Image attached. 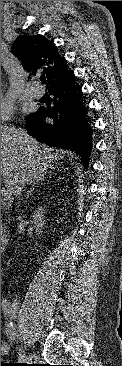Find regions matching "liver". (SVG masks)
I'll list each match as a JSON object with an SVG mask.
<instances>
[{
  "label": "liver",
  "mask_w": 122,
  "mask_h": 366,
  "mask_svg": "<svg viewBox=\"0 0 122 366\" xmlns=\"http://www.w3.org/2000/svg\"><path fill=\"white\" fill-rule=\"evenodd\" d=\"M65 153L39 143L22 129L1 126V182L17 196L18 187L43 177Z\"/></svg>",
  "instance_id": "1"
}]
</instances>
